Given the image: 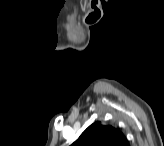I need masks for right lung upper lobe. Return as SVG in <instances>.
<instances>
[{"label": "right lung upper lobe", "instance_id": "1", "mask_svg": "<svg viewBox=\"0 0 164 146\" xmlns=\"http://www.w3.org/2000/svg\"><path fill=\"white\" fill-rule=\"evenodd\" d=\"M72 145L128 146V141L117 128L96 122L90 125Z\"/></svg>", "mask_w": 164, "mask_h": 146}]
</instances>
